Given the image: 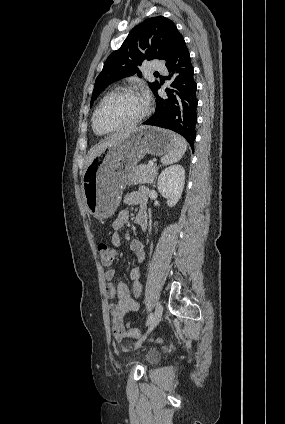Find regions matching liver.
Masks as SVG:
<instances>
[{
	"label": "liver",
	"instance_id": "6515ba94",
	"mask_svg": "<svg viewBox=\"0 0 285 424\" xmlns=\"http://www.w3.org/2000/svg\"><path fill=\"white\" fill-rule=\"evenodd\" d=\"M134 131H135V129L132 128V129H129L125 132L111 135V136L107 137L106 139H104L103 141H101L100 143H98L97 145H95L94 147H92L90 149V151L88 152V155H87V158H86V167L102 151H104L106 148H108L110 146L117 145L123 139L128 138Z\"/></svg>",
	"mask_w": 285,
	"mask_h": 424
}]
</instances>
